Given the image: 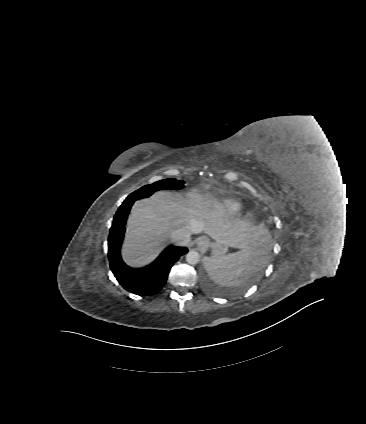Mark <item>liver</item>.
I'll use <instances>...</instances> for the list:
<instances>
[{"mask_svg":"<svg viewBox=\"0 0 366 424\" xmlns=\"http://www.w3.org/2000/svg\"><path fill=\"white\" fill-rule=\"evenodd\" d=\"M181 228L203 232L227 247L264 245L263 251L268 249V231L263 226L228 217L206 193L192 190L181 196L159 191L133 205L121 251L123 261L135 269L148 265L167 245L171 233Z\"/></svg>","mask_w":366,"mask_h":424,"instance_id":"1","label":"liver"}]
</instances>
